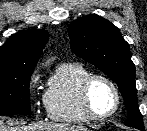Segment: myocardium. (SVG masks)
I'll use <instances>...</instances> for the list:
<instances>
[{"mask_svg": "<svg viewBox=\"0 0 147 131\" xmlns=\"http://www.w3.org/2000/svg\"><path fill=\"white\" fill-rule=\"evenodd\" d=\"M96 80L105 81L111 87L115 95V106L109 113L105 115H97L91 107L90 90H91L92 84ZM80 100H81V106H82L83 112L85 113L87 118L92 121H105L111 118L117 113V111L119 110L121 106V94L117 85L111 78H109L108 76L104 74H91L84 80L80 89Z\"/></svg>", "mask_w": 147, "mask_h": 131, "instance_id": "myocardium-1", "label": "myocardium"}]
</instances>
